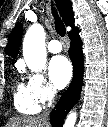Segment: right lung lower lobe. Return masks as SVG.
<instances>
[{
	"mask_svg": "<svg viewBox=\"0 0 108 127\" xmlns=\"http://www.w3.org/2000/svg\"><path fill=\"white\" fill-rule=\"evenodd\" d=\"M68 35L71 40L69 55L74 67L73 80L51 113V125L53 127H62L67 113L79 99L83 81L84 60L78 28H73Z\"/></svg>",
	"mask_w": 108,
	"mask_h": 127,
	"instance_id": "obj_1",
	"label": "right lung lower lobe"
}]
</instances>
